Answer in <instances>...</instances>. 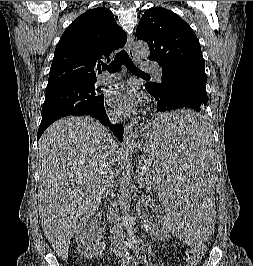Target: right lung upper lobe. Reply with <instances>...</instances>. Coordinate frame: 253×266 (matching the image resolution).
Listing matches in <instances>:
<instances>
[{
	"label": "right lung upper lobe",
	"instance_id": "obj_1",
	"mask_svg": "<svg viewBox=\"0 0 253 266\" xmlns=\"http://www.w3.org/2000/svg\"><path fill=\"white\" fill-rule=\"evenodd\" d=\"M126 41L110 10L99 7L85 12L69 25L56 46L47 88L97 80L103 60L109 61L110 53Z\"/></svg>",
	"mask_w": 253,
	"mask_h": 266
}]
</instances>
